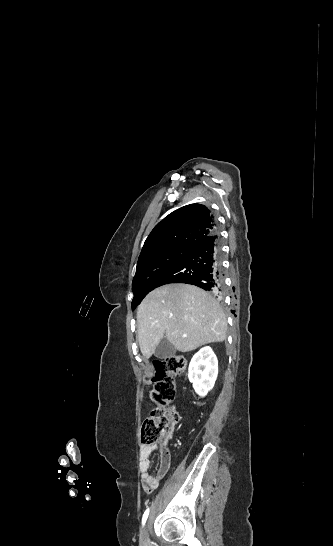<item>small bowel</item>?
<instances>
[{
    "instance_id": "small-bowel-1",
    "label": "small bowel",
    "mask_w": 333,
    "mask_h": 546,
    "mask_svg": "<svg viewBox=\"0 0 333 546\" xmlns=\"http://www.w3.org/2000/svg\"><path fill=\"white\" fill-rule=\"evenodd\" d=\"M158 450L160 461L157 472H150L152 466V454ZM139 468L141 471V485L146 494L153 492L164 479L171 466V454L163 445L142 444L139 449Z\"/></svg>"
}]
</instances>
